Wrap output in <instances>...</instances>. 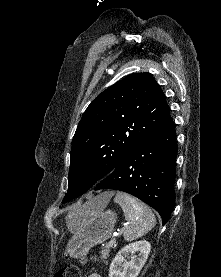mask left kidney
<instances>
[{
  "label": "left kidney",
  "instance_id": "obj_1",
  "mask_svg": "<svg viewBox=\"0 0 221 277\" xmlns=\"http://www.w3.org/2000/svg\"><path fill=\"white\" fill-rule=\"evenodd\" d=\"M151 251L146 240L133 242L123 247L112 260L109 277H137ZM139 253L138 256L135 253ZM131 257V260L127 261Z\"/></svg>",
  "mask_w": 221,
  "mask_h": 277
}]
</instances>
